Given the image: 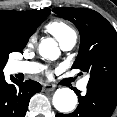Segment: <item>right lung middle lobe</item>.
<instances>
[{
  "label": "right lung middle lobe",
  "mask_w": 117,
  "mask_h": 117,
  "mask_svg": "<svg viewBox=\"0 0 117 117\" xmlns=\"http://www.w3.org/2000/svg\"><path fill=\"white\" fill-rule=\"evenodd\" d=\"M16 51L14 48V38L10 31L0 29V53L8 59L11 52Z\"/></svg>",
  "instance_id": "obj_1"
}]
</instances>
